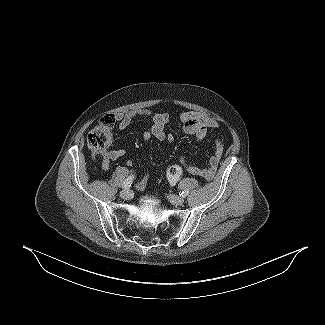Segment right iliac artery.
I'll use <instances>...</instances> for the list:
<instances>
[{
  "label": "right iliac artery",
  "instance_id": "obj_1",
  "mask_svg": "<svg viewBox=\"0 0 325 325\" xmlns=\"http://www.w3.org/2000/svg\"><path fill=\"white\" fill-rule=\"evenodd\" d=\"M134 176H129L128 178L125 179V181L122 184V189H127L131 186L133 182Z\"/></svg>",
  "mask_w": 325,
  "mask_h": 325
}]
</instances>
